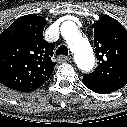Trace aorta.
<instances>
[{
	"instance_id": "aorta-1",
	"label": "aorta",
	"mask_w": 127,
	"mask_h": 127,
	"mask_svg": "<svg viewBox=\"0 0 127 127\" xmlns=\"http://www.w3.org/2000/svg\"><path fill=\"white\" fill-rule=\"evenodd\" d=\"M61 31L74 53L79 69L89 72L94 67L95 57L88 40L78 32L77 26L71 21L65 22L61 27Z\"/></svg>"
}]
</instances>
